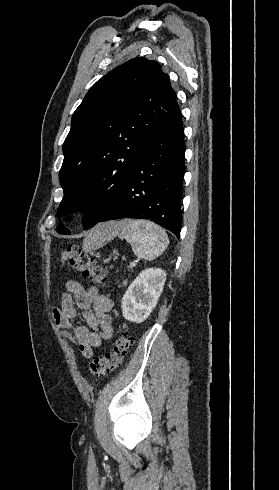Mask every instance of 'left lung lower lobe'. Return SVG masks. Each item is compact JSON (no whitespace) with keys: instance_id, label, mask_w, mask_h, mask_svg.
<instances>
[{"instance_id":"left-lung-lower-lobe-1","label":"left lung lower lobe","mask_w":279,"mask_h":490,"mask_svg":"<svg viewBox=\"0 0 279 490\" xmlns=\"http://www.w3.org/2000/svg\"><path fill=\"white\" fill-rule=\"evenodd\" d=\"M184 156V129L177 106L145 142L115 206L99 222L126 217L148 219L179 238Z\"/></svg>"}]
</instances>
